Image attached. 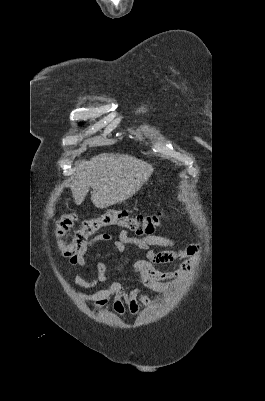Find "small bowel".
<instances>
[{
	"instance_id": "c3829d8e",
	"label": "small bowel",
	"mask_w": 265,
	"mask_h": 401,
	"mask_svg": "<svg viewBox=\"0 0 265 401\" xmlns=\"http://www.w3.org/2000/svg\"><path fill=\"white\" fill-rule=\"evenodd\" d=\"M110 244L118 253H125L129 247L140 252L143 257L136 260L131 270L137 276V281L142 286L155 291H161L182 280L190 273L193 267V256L197 253L198 247L190 245L182 250H173L175 242L159 235H148L142 238L131 237L126 231H122L118 237L110 234H98L88 240L85 248L69 257L70 265L74 270V281L83 289H92L99 284L108 283L104 289L93 293L78 292L79 297L84 301H92L97 309H102L113 299V310L119 316H124L128 309L136 315L140 311V305L150 306V299L139 289L127 290L126 284L121 281L109 283L106 274L107 265L104 260L92 264L86 254L96 245ZM156 247L162 250H155ZM178 259H184L183 265L174 271L163 272L155 268L156 264L170 263ZM78 267L92 269L94 279L86 281L78 273Z\"/></svg>"
}]
</instances>
